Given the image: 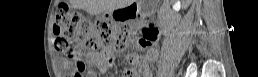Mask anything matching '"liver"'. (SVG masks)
Listing matches in <instances>:
<instances>
[{"label":"liver","instance_id":"1","mask_svg":"<svg viewBox=\"0 0 258 77\" xmlns=\"http://www.w3.org/2000/svg\"><path fill=\"white\" fill-rule=\"evenodd\" d=\"M134 0H72L73 5L78 9H83L90 15H98L106 11L126 7ZM169 1L167 0L166 3Z\"/></svg>","mask_w":258,"mask_h":77}]
</instances>
